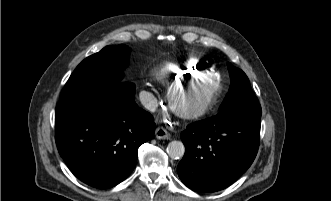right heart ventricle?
<instances>
[{"instance_id": "right-heart-ventricle-1", "label": "right heart ventricle", "mask_w": 331, "mask_h": 201, "mask_svg": "<svg viewBox=\"0 0 331 201\" xmlns=\"http://www.w3.org/2000/svg\"><path fill=\"white\" fill-rule=\"evenodd\" d=\"M208 70L196 59L167 61L156 67L153 77L160 83H167L180 77L208 74Z\"/></svg>"}]
</instances>
